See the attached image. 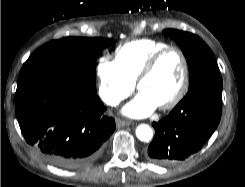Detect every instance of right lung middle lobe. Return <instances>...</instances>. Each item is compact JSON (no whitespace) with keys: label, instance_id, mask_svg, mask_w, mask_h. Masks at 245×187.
Returning a JSON list of instances; mask_svg holds the SVG:
<instances>
[{"label":"right lung middle lobe","instance_id":"right-lung-middle-lobe-1","mask_svg":"<svg viewBox=\"0 0 245 187\" xmlns=\"http://www.w3.org/2000/svg\"><path fill=\"white\" fill-rule=\"evenodd\" d=\"M113 42L103 38L79 37L53 40L29 57L18 80L41 73H54L96 86V59L101 51Z\"/></svg>","mask_w":245,"mask_h":187}]
</instances>
